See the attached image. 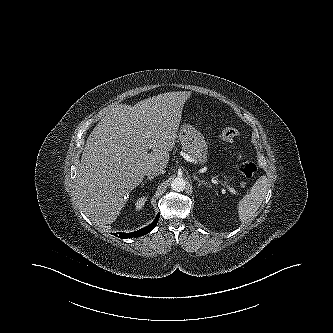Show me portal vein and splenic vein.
I'll list each match as a JSON object with an SVG mask.
<instances>
[{
    "instance_id": "portal-vein-and-splenic-vein-1",
    "label": "portal vein and splenic vein",
    "mask_w": 333,
    "mask_h": 333,
    "mask_svg": "<svg viewBox=\"0 0 333 333\" xmlns=\"http://www.w3.org/2000/svg\"><path fill=\"white\" fill-rule=\"evenodd\" d=\"M224 186H226V188L232 193V194H236V190L233 187H230L229 185L224 183Z\"/></svg>"
}]
</instances>
